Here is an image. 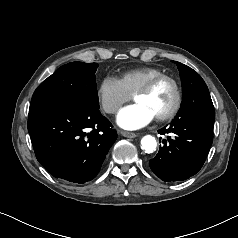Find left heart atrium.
Returning <instances> with one entry per match:
<instances>
[{"mask_svg":"<svg viewBox=\"0 0 238 238\" xmlns=\"http://www.w3.org/2000/svg\"><path fill=\"white\" fill-rule=\"evenodd\" d=\"M155 118L143 104L134 103L124 107L117 115V124L126 130H136L148 125Z\"/></svg>","mask_w":238,"mask_h":238,"instance_id":"39dd6f15","label":"left heart atrium"}]
</instances>
